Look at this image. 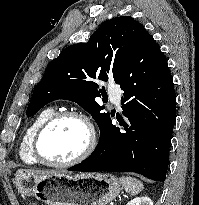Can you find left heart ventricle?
Returning a JSON list of instances; mask_svg holds the SVG:
<instances>
[{
	"label": "left heart ventricle",
	"mask_w": 199,
	"mask_h": 205,
	"mask_svg": "<svg viewBox=\"0 0 199 205\" xmlns=\"http://www.w3.org/2000/svg\"><path fill=\"white\" fill-rule=\"evenodd\" d=\"M86 141L85 125L76 118H63L44 132L40 139V151L47 160L63 162L77 156Z\"/></svg>",
	"instance_id": "b2bd125f"
}]
</instances>
